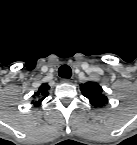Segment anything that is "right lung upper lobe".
I'll use <instances>...</instances> for the list:
<instances>
[{"mask_svg": "<svg viewBox=\"0 0 137 145\" xmlns=\"http://www.w3.org/2000/svg\"><path fill=\"white\" fill-rule=\"evenodd\" d=\"M50 86L47 83H43L38 91L33 95V98L36 99V101H32L35 107H38L41 105V102L48 96L49 94Z\"/></svg>", "mask_w": 137, "mask_h": 145, "instance_id": "right-lung-upper-lobe-1", "label": "right lung upper lobe"}]
</instances>
